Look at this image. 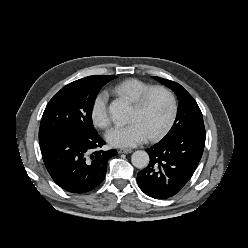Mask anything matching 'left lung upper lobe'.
<instances>
[{
  "label": "left lung upper lobe",
  "mask_w": 248,
  "mask_h": 248,
  "mask_svg": "<svg viewBox=\"0 0 248 248\" xmlns=\"http://www.w3.org/2000/svg\"><path fill=\"white\" fill-rule=\"evenodd\" d=\"M154 78L172 89L179 100L175 122L163 140L184 133L205 136L206 133L202 113L194 98L178 83L160 77Z\"/></svg>",
  "instance_id": "obj_1"
}]
</instances>
